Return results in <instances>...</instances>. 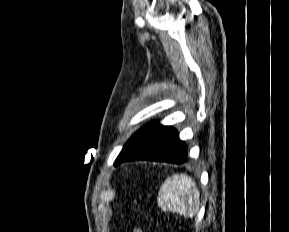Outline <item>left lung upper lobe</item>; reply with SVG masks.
I'll return each instance as SVG.
<instances>
[{"label":"left lung upper lobe","instance_id":"obj_1","mask_svg":"<svg viewBox=\"0 0 289 232\" xmlns=\"http://www.w3.org/2000/svg\"><path fill=\"white\" fill-rule=\"evenodd\" d=\"M163 125L152 122L141 128L134 136L124 145L122 151L117 157L114 165L122 163L127 157L137 151L148 139L157 133Z\"/></svg>","mask_w":289,"mask_h":232}]
</instances>
